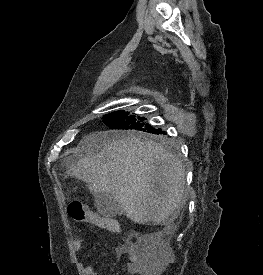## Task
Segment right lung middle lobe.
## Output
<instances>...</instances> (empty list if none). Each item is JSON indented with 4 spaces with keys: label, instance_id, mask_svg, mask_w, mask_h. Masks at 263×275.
Wrapping results in <instances>:
<instances>
[{
    "label": "right lung middle lobe",
    "instance_id": "dd1d6c3e",
    "mask_svg": "<svg viewBox=\"0 0 263 275\" xmlns=\"http://www.w3.org/2000/svg\"><path fill=\"white\" fill-rule=\"evenodd\" d=\"M103 122L111 129L131 130L144 140L170 143L171 140L161 129H157L144 122V117L138 119L135 115L129 116L128 112L116 111L103 117Z\"/></svg>",
    "mask_w": 263,
    "mask_h": 275
}]
</instances>
